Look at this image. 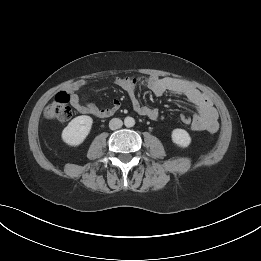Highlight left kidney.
<instances>
[{
    "label": "left kidney",
    "instance_id": "obj_1",
    "mask_svg": "<svg viewBox=\"0 0 261 261\" xmlns=\"http://www.w3.org/2000/svg\"><path fill=\"white\" fill-rule=\"evenodd\" d=\"M171 137H172L173 143H175L179 147L186 148L191 143V137L188 134V132L184 129H179V128L174 129L172 131Z\"/></svg>",
    "mask_w": 261,
    "mask_h": 261
}]
</instances>
